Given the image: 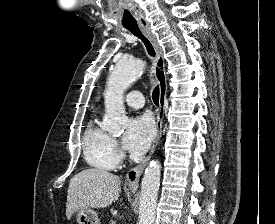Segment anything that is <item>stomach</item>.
Masks as SVG:
<instances>
[{
    "label": "stomach",
    "mask_w": 275,
    "mask_h": 224,
    "mask_svg": "<svg viewBox=\"0 0 275 224\" xmlns=\"http://www.w3.org/2000/svg\"><path fill=\"white\" fill-rule=\"evenodd\" d=\"M75 217L78 224H100L97 212L91 208L77 210Z\"/></svg>",
    "instance_id": "0dacf381"
}]
</instances>
